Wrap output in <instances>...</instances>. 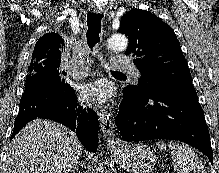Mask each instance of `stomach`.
<instances>
[{
    "label": "stomach",
    "instance_id": "stomach-1",
    "mask_svg": "<svg viewBox=\"0 0 219 173\" xmlns=\"http://www.w3.org/2000/svg\"><path fill=\"white\" fill-rule=\"evenodd\" d=\"M113 155L128 173H151L156 164L155 153L144 143L122 144L113 149Z\"/></svg>",
    "mask_w": 219,
    "mask_h": 173
}]
</instances>
